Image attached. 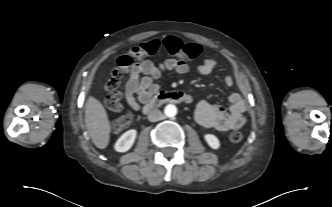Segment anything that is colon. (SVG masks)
Wrapping results in <instances>:
<instances>
[{"label":"colon","instance_id":"1","mask_svg":"<svg viewBox=\"0 0 332 207\" xmlns=\"http://www.w3.org/2000/svg\"><path fill=\"white\" fill-rule=\"evenodd\" d=\"M161 46H164L170 54L187 60L196 59L201 52L198 44L185 43L174 36H168L163 40L153 39L131 48L126 54L119 57L117 66L113 68L110 77L103 86L105 102L111 110L121 112L123 109L119 90L123 73L129 69L134 60L155 54ZM131 122L132 116L123 114L113 121L112 129L114 132L124 131L130 126ZM242 138V134L237 131L231 132L229 135L230 141L235 143L240 142Z\"/></svg>","mask_w":332,"mask_h":207}]
</instances>
